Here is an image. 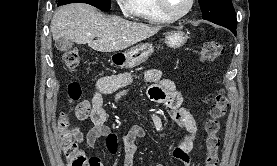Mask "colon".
I'll return each instance as SVG.
<instances>
[{
    "mask_svg": "<svg viewBox=\"0 0 277 166\" xmlns=\"http://www.w3.org/2000/svg\"><path fill=\"white\" fill-rule=\"evenodd\" d=\"M225 52V46L219 41H208L199 48V58L203 62H212L221 57ZM80 61L79 52L70 49L64 54V62L68 70L75 72ZM81 86L77 81H71L67 86V98L70 104L75 103L81 97ZM229 106L228 97L223 89H218L214 95L207 119L204 122L206 156L204 166H217L219 162L218 151L220 139L218 131L220 120L226 114ZM58 131L61 139V147L66 158L67 166H93L95 163L88 159L78 146L79 130L73 124L68 113H62L58 119Z\"/></svg>",
    "mask_w": 277,
    "mask_h": 166,
    "instance_id": "colon-1",
    "label": "colon"
}]
</instances>
